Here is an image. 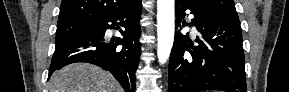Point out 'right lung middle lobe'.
I'll return each mask as SVG.
<instances>
[{"instance_id": "obj_1", "label": "right lung middle lobe", "mask_w": 289, "mask_h": 92, "mask_svg": "<svg viewBox=\"0 0 289 92\" xmlns=\"http://www.w3.org/2000/svg\"><path fill=\"white\" fill-rule=\"evenodd\" d=\"M92 22H76L63 25H57L56 43L68 37L77 35L87 30Z\"/></svg>"}]
</instances>
